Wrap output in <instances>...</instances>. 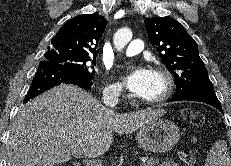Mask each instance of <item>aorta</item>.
<instances>
[{
    "mask_svg": "<svg viewBox=\"0 0 231 166\" xmlns=\"http://www.w3.org/2000/svg\"><path fill=\"white\" fill-rule=\"evenodd\" d=\"M132 39V31L129 28L119 29L113 39L114 46L117 51H122V49L130 42Z\"/></svg>",
    "mask_w": 231,
    "mask_h": 166,
    "instance_id": "1",
    "label": "aorta"
}]
</instances>
